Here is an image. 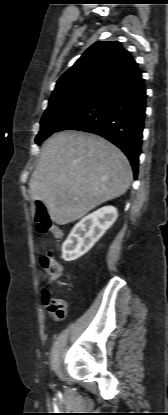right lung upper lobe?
Segmentation results:
<instances>
[{
	"instance_id": "1",
	"label": "right lung upper lobe",
	"mask_w": 168,
	"mask_h": 415,
	"mask_svg": "<svg viewBox=\"0 0 168 415\" xmlns=\"http://www.w3.org/2000/svg\"><path fill=\"white\" fill-rule=\"evenodd\" d=\"M136 66L119 42L98 41L60 77L49 100L80 90L103 91Z\"/></svg>"
}]
</instances>
